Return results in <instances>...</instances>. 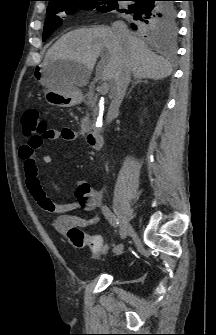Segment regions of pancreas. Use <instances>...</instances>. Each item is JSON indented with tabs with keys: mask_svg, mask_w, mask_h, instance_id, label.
<instances>
[{
	"mask_svg": "<svg viewBox=\"0 0 216 335\" xmlns=\"http://www.w3.org/2000/svg\"><path fill=\"white\" fill-rule=\"evenodd\" d=\"M92 113H87L86 117L81 122V134L84 135L85 133L89 132L94 127V121L90 118ZM95 116V111H94Z\"/></svg>",
	"mask_w": 216,
	"mask_h": 335,
	"instance_id": "1",
	"label": "pancreas"
}]
</instances>
